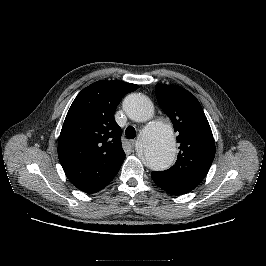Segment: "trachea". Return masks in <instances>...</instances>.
<instances>
[{
	"mask_svg": "<svg viewBox=\"0 0 266 266\" xmlns=\"http://www.w3.org/2000/svg\"><path fill=\"white\" fill-rule=\"evenodd\" d=\"M125 135L129 139H134L136 137V131L132 126H129L125 130Z\"/></svg>",
	"mask_w": 266,
	"mask_h": 266,
	"instance_id": "3493384b",
	"label": "trachea"
}]
</instances>
